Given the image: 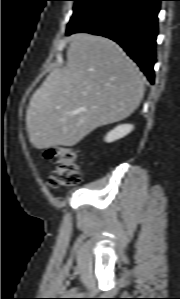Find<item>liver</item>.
<instances>
[{
    "label": "liver",
    "mask_w": 180,
    "mask_h": 299,
    "mask_svg": "<svg viewBox=\"0 0 180 299\" xmlns=\"http://www.w3.org/2000/svg\"><path fill=\"white\" fill-rule=\"evenodd\" d=\"M144 91L142 73L115 42L75 34L66 66L53 69L30 99L29 140L37 149L74 146L94 129L130 116Z\"/></svg>",
    "instance_id": "liver-1"
}]
</instances>
